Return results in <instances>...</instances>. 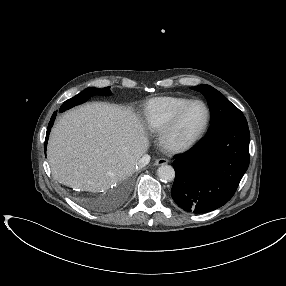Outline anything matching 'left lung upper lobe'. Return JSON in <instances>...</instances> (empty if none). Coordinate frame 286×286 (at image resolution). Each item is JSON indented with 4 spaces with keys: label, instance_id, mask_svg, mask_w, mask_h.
Returning a JSON list of instances; mask_svg holds the SVG:
<instances>
[{
    "label": "left lung upper lobe",
    "instance_id": "left-lung-upper-lobe-1",
    "mask_svg": "<svg viewBox=\"0 0 286 286\" xmlns=\"http://www.w3.org/2000/svg\"><path fill=\"white\" fill-rule=\"evenodd\" d=\"M192 89L199 91L207 99L211 112L209 131L229 125L248 126L243 113L215 88L202 84Z\"/></svg>",
    "mask_w": 286,
    "mask_h": 286
}]
</instances>
